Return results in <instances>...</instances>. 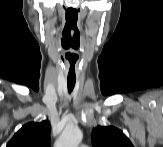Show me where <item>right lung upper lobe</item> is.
<instances>
[{"mask_svg": "<svg viewBox=\"0 0 163 147\" xmlns=\"http://www.w3.org/2000/svg\"><path fill=\"white\" fill-rule=\"evenodd\" d=\"M50 130L48 121L27 123L15 133L7 147H49Z\"/></svg>", "mask_w": 163, "mask_h": 147, "instance_id": "1", "label": "right lung upper lobe"}]
</instances>
